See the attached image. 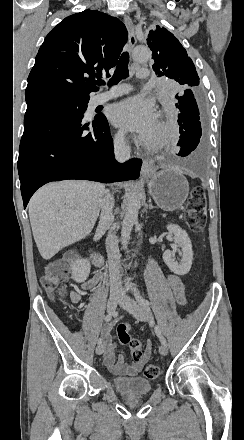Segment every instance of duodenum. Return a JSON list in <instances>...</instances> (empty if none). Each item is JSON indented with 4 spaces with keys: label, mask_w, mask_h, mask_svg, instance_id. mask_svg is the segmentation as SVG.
Here are the masks:
<instances>
[{
    "label": "duodenum",
    "mask_w": 244,
    "mask_h": 440,
    "mask_svg": "<svg viewBox=\"0 0 244 440\" xmlns=\"http://www.w3.org/2000/svg\"><path fill=\"white\" fill-rule=\"evenodd\" d=\"M90 259L93 262V264L99 269L102 268L105 264V259H104L103 255L97 251H92L90 253Z\"/></svg>",
    "instance_id": "obj_1"
}]
</instances>
